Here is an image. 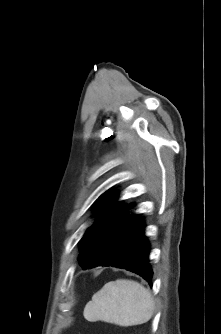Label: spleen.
I'll return each mask as SVG.
<instances>
[{
    "mask_svg": "<svg viewBox=\"0 0 221 334\" xmlns=\"http://www.w3.org/2000/svg\"><path fill=\"white\" fill-rule=\"evenodd\" d=\"M155 309L149 290L140 283L117 279L106 283L92 296L84 308L90 322L103 321L122 327L148 322Z\"/></svg>",
    "mask_w": 221,
    "mask_h": 334,
    "instance_id": "obj_1",
    "label": "spleen"
}]
</instances>
